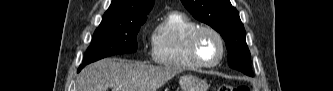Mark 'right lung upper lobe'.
Segmentation results:
<instances>
[{
  "label": "right lung upper lobe",
  "instance_id": "1",
  "mask_svg": "<svg viewBox=\"0 0 333 91\" xmlns=\"http://www.w3.org/2000/svg\"><path fill=\"white\" fill-rule=\"evenodd\" d=\"M154 0H112L103 19L131 20L147 17Z\"/></svg>",
  "mask_w": 333,
  "mask_h": 91
}]
</instances>
